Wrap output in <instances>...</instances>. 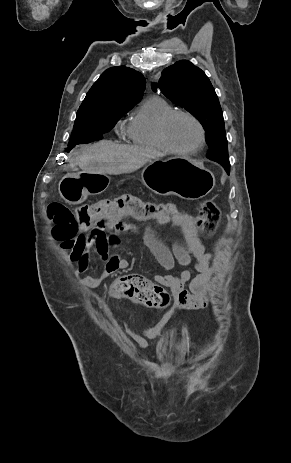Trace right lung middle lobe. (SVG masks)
Returning a JSON list of instances; mask_svg holds the SVG:
<instances>
[{
	"instance_id": "right-lung-middle-lobe-1",
	"label": "right lung middle lobe",
	"mask_w": 291,
	"mask_h": 463,
	"mask_svg": "<svg viewBox=\"0 0 291 463\" xmlns=\"http://www.w3.org/2000/svg\"><path fill=\"white\" fill-rule=\"evenodd\" d=\"M134 105L106 104L94 109H84L77 112L71 134L68 150L77 144H86L101 140L117 121Z\"/></svg>"
}]
</instances>
